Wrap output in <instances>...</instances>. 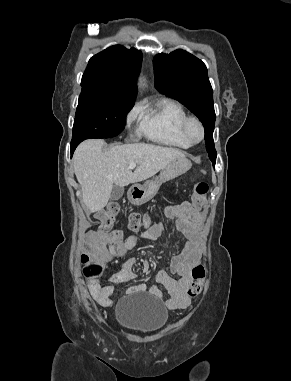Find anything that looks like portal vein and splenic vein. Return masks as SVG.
Segmentation results:
<instances>
[{
  "label": "portal vein and splenic vein",
  "instance_id": "portal-vein-and-splenic-vein-1",
  "mask_svg": "<svg viewBox=\"0 0 291 381\" xmlns=\"http://www.w3.org/2000/svg\"><path fill=\"white\" fill-rule=\"evenodd\" d=\"M136 167V163H131L130 165H129V169H134Z\"/></svg>",
  "mask_w": 291,
  "mask_h": 381
}]
</instances>
